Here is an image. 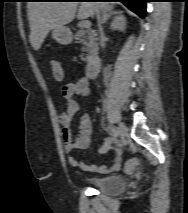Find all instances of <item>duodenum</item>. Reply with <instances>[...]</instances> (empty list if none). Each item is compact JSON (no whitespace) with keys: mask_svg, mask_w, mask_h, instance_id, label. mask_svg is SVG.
I'll return each mask as SVG.
<instances>
[{"mask_svg":"<svg viewBox=\"0 0 188 213\" xmlns=\"http://www.w3.org/2000/svg\"><path fill=\"white\" fill-rule=\"evenodd\" d=\"M101 70V60L93 57L86 65V76L89 79L97 78Z\"/></svg>","mask_w":188,"mask_h":213,"instance_id":"duodenum-1","label":"duodenum"}]
</instances>
